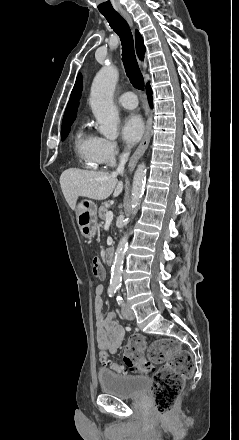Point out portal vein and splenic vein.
I'll use <instances>...</instances> for the list:
<instances>
[{"label": "portal vein and splenic vein", "mask_w": 239, "mask_h": 440, "mask_svg": "<svg viewBox=\"0 0 239 440\" xmlns=\"http://www.w3.org/2000/svg\"><path fill=\"white\" fill-rule=\"evenodd\" d=\"M113 212H106V222H112Z\"/></svg>", "instance_id": "portal-vein-and-splenic-vein-1"}]
</instances>
